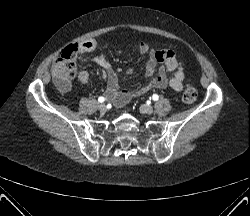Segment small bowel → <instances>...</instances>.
<instances>
[{
  "instance_id": "obj_1",
  "label": "small bowel",
  "mask_w": 250,
  "mask_h": 216,
  "mask_svg": "<svg viewBox=\"0 0 250 216\" xmlns=\"http://www.w3.org/2000/svg\"><path fill=\"white\" fill-rule=\"evenodd\" d=\"M96 46L95 40H87L78 45V51L80 54L89 53ZM138 48L140 53L149 55V60L146 65L145 83L132 92L120 90L117 74L104 56L96 55L93 58L94 62L102 68V78L107 83L106 95L116 106H123L133 96L143 95L152 88H170L176 92L183 89L184 67L173 51L155 49L146 42H141ZM127 72L130 74L131 70ZM89 78L90 74L87 71L83 70L78 73L80 83H87ZM57 85L62 92H67L70 88V84L66 80H58Z\"/></svg>"
}]
</instances>
